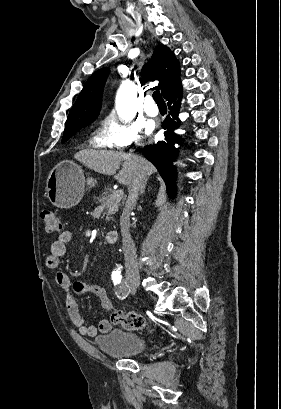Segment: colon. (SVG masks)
Listing matches in <instances>:
<instances>
[{
	"label": "colon",
	"mask_w": 281,
	"mask_h": 409,
	"mask_svg": "<svg viewBox=\"0 0 281 409\" xmlns=\"http://www.w3.org/2000/svg\"><path fill=\"white\" fill-rule=\"evenodd\" d=\"M42 219L48 233L62 232V224L54 210L50 208L42 209ZM109 312L111 314V320L124 329H139L144 325V320L140 315L131 312L120 315L122 313L120 306H113Z\"/></svg>",
	"instance_id": "obj_1"
}]
</instances>
